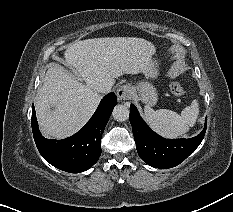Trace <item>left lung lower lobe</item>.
Listing matches in <instances>:
<instances>
[{
  "mask_svg": "<svg viewBox=\"0 0 233 212\" xmlns=\"http://www.w3.org/2000/svg\"><path fill=\"white\" fill-rule=\"evenodd\" d=\"M129 120L140 158L148 165L161 169L183 162L200 145L207 127L206 118L205 127L199 135L190 139H165L149 128L133 104Z\"/></svg>",
  "mask_w": 233,
  "mask_h": 212,
  "instance_id": "obj_1",
  "label": "left lung lower lobe"
}]
</instances>
